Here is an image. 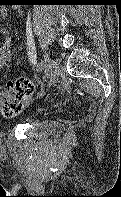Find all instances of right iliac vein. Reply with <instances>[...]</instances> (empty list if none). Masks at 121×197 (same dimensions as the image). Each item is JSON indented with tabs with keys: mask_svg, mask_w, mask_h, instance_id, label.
Here are the masks:
<instances>
[{
	"mask_svg": "<svg viewBox=\"0 0 121 197\" xmlns=\"http://www.w3.org/2000/svg\"><path fill=\"white\" fill-rule=\"evenodd\" d=\"M44 72L46 78H49L53 74L54 63L47 52L44 54Z\"/></svg>",
	"mask_w": 121,
	"mask_h": 197,
	"instance_id": "1",
	"label": "right iliac vein"
}]
</instances>
